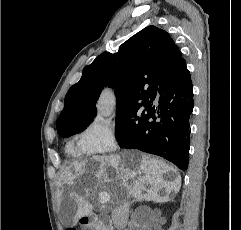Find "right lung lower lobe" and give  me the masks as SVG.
<instances>
[{
  "label": "right lung lower lobe",
  "instance_id": "obj_1",
  "mask_svg": "<svg viewBox=\"0 0 241 230\" xmlns=\"http://www.w3.org/2000/svg\"><path fill=\"white\" fill-rule=\"evenodd\" d=\"M193 85L185 61L166 74L148 101L147 121L120 147L159 155L180 169L189 159Z\"/></svg>",
  "mask_w": 241,
  "mask_h": 230
}]
</instances>
